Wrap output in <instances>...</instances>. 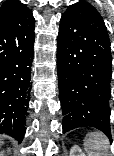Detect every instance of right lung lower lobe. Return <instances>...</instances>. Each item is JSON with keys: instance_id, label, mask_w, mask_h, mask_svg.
I'll list each match as a JSON object with an SVG mask.
<instances>
[{"instance_id": "right-lung-lower-lobe-1", "label": "right lung lower lobe", "mask_w": 114, "mask_h": 156, "mask_svg": "<svg viewBox=\"0 0 114 156\" xmlns=\"http://www.w3.org/2000/svg\"><path fill=\"white\" fill-rule=\"evenodd\" d=\"M34 28L28 8L0 21V133L19 142L26 131Z\"/></svg>"}]
</instances>
